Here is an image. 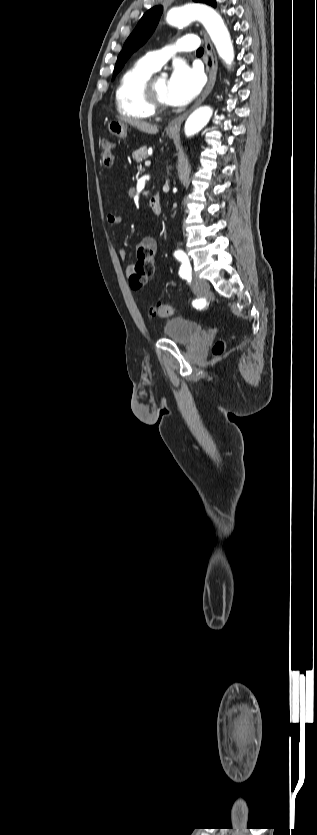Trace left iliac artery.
<instances>
[{
  "mask_svg": "<svg viewBox=\"0 0 317 835\" xmlns=\"http://www.w3.org/2000/svg\"><path fill=\"white\" fill-rule=\"evenodd\" d=\"M174 256L181 262L179 270L180 277L191 281V267L186 253L183 250H177L174 252Z\"/></svg>",
  "mask_w": 317,
  "mask_h": 835,
  "instance_id": "left-iliac-artery-1",
  "label": "left iliac artery"
}]
</instances>
